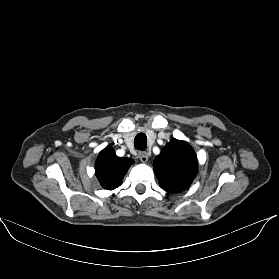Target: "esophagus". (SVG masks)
<instances>
[{"label":"esophagus","mask_w":279,"mask_h":279,"mask_svg":"<svg viewBox=\"0 0 279 279\" xmlns=\"http://www.w3.org/2000/svg\"><path fill=\"white\" fill-rule=\"evenodd\" d=\"M138 157H139L140 161L143 163H146L148 161V153H146V152H140L138 154Z\"/></svg>","instance_id":"obj_1"}]
</instances>
